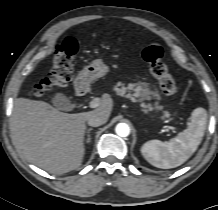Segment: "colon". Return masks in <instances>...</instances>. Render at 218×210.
I'll list each match as a JSON object with an SVG mask.
<instances>
[{"mask_svg": "<svg viewBox=\"0 0 218 210\" xmlns=\"http://www.w3.org/2000/svg\"><path fill=\"white\" fill-rule=\"evenodd\" d=\"M77 53V43L72 38L65 39L58 47L54 65L50 74L44 78L32 91V95L43 98L47 92L64 87L72 78L74 58ZM164 50L158 43H153L142 52L150 72L158 80L161 90L166 95L178 92L173 75L163 61Z\"/></svg>", "mask_w": 218, "mask_h": 210, "instance_id": "5ec220e1", "label": "colon"}]
</instances>
